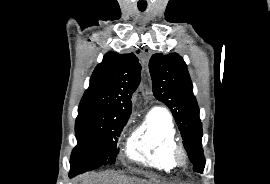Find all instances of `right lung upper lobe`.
Instances as JSON below:
<instances>
[{
    "mask_svg": "<svg viewBox=\"0 0 270 184\" xmlns=\"http://www.w3.org/2000/svg\"><path fill=\"white\" fill-rule=\"evenodd\" d=\"M140 70L134 53L108 52L95 68L80 105L90 108L96 116L128 121L131 95L141 80Z\"/></svg>",
    "mask_w": 270,
    "mask_h": 184,
    "instance_id": "obj_1",
    "label": "right lung upper lobe"
}]
</instances>
